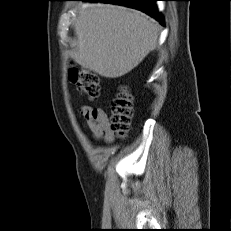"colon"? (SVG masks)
Segmentation results:
<instances>
[{"label": "colon", "mask_w": 231, "mask_h": 231, "mask_svg": "<svg viewBox=\"0 0 231 231\" xmlns=\"http://www.w3.org/2000/svg\"><path fill=\"white\" fill-rule=\"evenodd\" d=\"M70 81L91 99L99 95V80L97 75L87 69L72 68L69 72ZM133 116V101L130 94L121 90L113 101L111 128L118 136H124L130 126Z\"/></svg>", "instance_id": "1"}]
</instances>
